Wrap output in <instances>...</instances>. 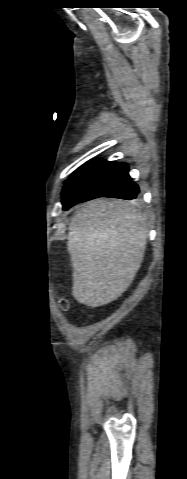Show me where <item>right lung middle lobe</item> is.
<instances>
[{"mask_svg": "<svg viewBox=\"0 0 187 479\" xmlns=\"http://www.w3.org/2000/svg\"><path fill=\"white\" fill-rule=\"evenodd\" d=\"M102 159L97 158L89 161L85 165L81 166L78 168L72 175L71 177L67 180L65 183V186L62 191V195L81 177L83 176L87 171H89L92 167H94L96 164H98Z\"/></svg>", "mask_w": 187, "mask_h": 479, "instance_id": "1", "label": "right lung middle lobe"}]
</instances>
